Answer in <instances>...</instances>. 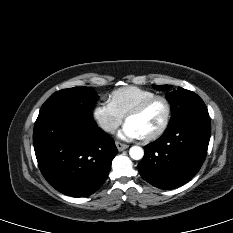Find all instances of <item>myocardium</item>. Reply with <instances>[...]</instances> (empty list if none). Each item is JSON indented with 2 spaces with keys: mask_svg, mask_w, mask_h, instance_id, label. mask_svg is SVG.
I'll use <instances>...</instances> for the list:
<instances>
[{
  "mask_svg": "<svg viewBox=\"0 0 233 233\" xmlns=\"http://www.w3.org/2000/svg\"><path fill=\"white\" fill-rule=\"evenodd\" d=\"M156 101H162L164 103L165 108H166L165 119L158 130H156L154 133H152L148 136L141 137V139L145 142H150V141H154V140L158 139L167 130V128L170 124L171 115H172V107H171V103L168 100V98H166L165 96H162V95L152 96V97L144 100L143 102H141L139 105H137L132 110H130L126 114V116L124 117L125 122H127V120L129 118L138 116L141 113H143L151 104H153Z\"/></svg>",
  "mask_w": 233,
  "mask_h": 233,
  "instance_id": "myocardium-1",
  "label": "myocardium"
}]
</instances>
